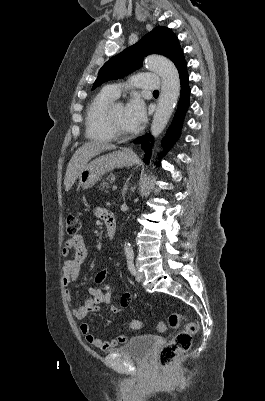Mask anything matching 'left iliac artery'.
<instances>
[{
  "label": "left iliac artery",
  "mask_w": 265,
  "mask_h": 401,
  "mask_svg": "<svg viewBox=\"0 0 265 401\" xmlns=\"http://www.w3.org/2000/svg\"><path fill=\"white\" fill-rule=\"evenodd\" d=\"M127 259H128V269L130 270V272H131V274H135V266H134V263H133V259H134V256L133 255H129L128 257H127Z\"/></svg>",
  "instance_id": "obj_1"
}]
</instances>
